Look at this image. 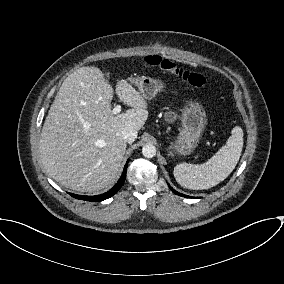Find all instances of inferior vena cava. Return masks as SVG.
Listing matches in <instances>:
<instances>
[{"mask_svg":"<svg viewBox=\"0 0 284 284\" xmlns=\"http://www.w3.org/2000/svg\"><path fill=\"white\" fill-rule=\"evenodd\" d=\"M137 134V130L132 126H126L122 130V138L128 143L134 142V140L137 138Z\"/></svg>","mask_w":284,"mask_h":284,"instance_id":"602c4592","label":"inferior vena cava"}]
</instances>
